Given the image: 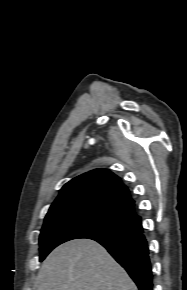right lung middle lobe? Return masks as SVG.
I'll return each instance as SVG.
<instances>
[{"mask_svg": "<svg viewBox=\"0 0 187 290\" xmlns=\"http://www.w3.org/2000/svg\"><path fill=\"white\" fill-rule=\"evenodd\" d=\"M130 225L129 220L102 207H76L48 214L39 238L40 261L66 241L90 238Z\"/></svg>", "mask_w": 187, "mask_h": 290, "instance_id": "1", "label": "right lung middle lobe"}]
</instances>
